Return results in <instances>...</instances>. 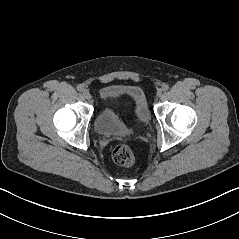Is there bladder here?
<instances>
[{
	"label": "bladder",
	"instance_id": "obj_1",
	"mask_svg": "<svg viewBox=\"0 0 239 239\" xmlns=\"http://www.w3.org/2000/svg\"><path fill=\"white\" fill-rule=\"evenodd\" d=\"M120 97H126L131 102L139 131L146 130L150 125L151 115L142 88L139 86H108L101 92L103 105L94 118L93 125L97 134L108 136L125 133L114 107V102Z\"/></svg>",
	"mask_w": 239,
	"mask_h": 239
}]
</instances>
